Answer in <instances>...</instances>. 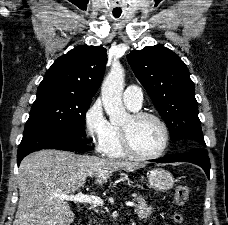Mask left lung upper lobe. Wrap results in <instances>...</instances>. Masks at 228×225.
Segmentation results:
<instances>
[{"label": "left lung upper lobe", "mask_w": 228, "mask_h": 225, "mask_svg": "<svg viewBox=\"0 0 228 225\" xmlns=\"http://www.w3.org/2000/svg\"><path fill=\"white\" fill-rule=\"evenodd\" d=\"M127 59L165 120L171 140H185L190 147H205L194 84L178 55L155 45L133 50Z\"/></svg>", "instance_id": "obj_1"}]
</instances>
